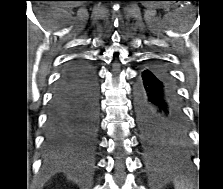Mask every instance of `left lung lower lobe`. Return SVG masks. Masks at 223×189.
<instances>
[{
    "mask_svg": "<svg viewBox=\"0 0 223 189\" xmlns=\"http://www.w3.org/2000/svg\"><path fill=\"white\" fill-rule=\"evenodd\" d=\"M139 126L164 127L186 139L187 128L176 85L168 70L152 63L140 73L134 89Z\"/></svg>",
    "mask_w": 223,
    "mask_h": 189,
    "instance_id": "left-lung-lower-lobe-1",
    "label": "left lung lower lobe"
}]
</instances>
